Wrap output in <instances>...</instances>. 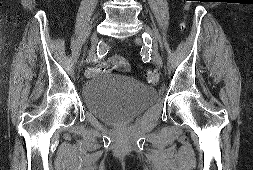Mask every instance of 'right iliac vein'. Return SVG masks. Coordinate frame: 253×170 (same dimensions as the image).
<instances>
[{"mask_svg":"<svg viewBox=\"0 0 253 170\" xmlns=\"http://www.w3.org/2000/svg\"><path fill=\"white\" fill-rule=\"evenodd\" d=\"M97 42H98V37H97V34L94 33L91 38V48L89 50L88 57L86 59L87 63L93 61V59L95 58Z\"/></svg>","mask_w":253,"mask_h":170,"instance_id":"63e3f726","label":"right iliac vein"}]
</instances>
